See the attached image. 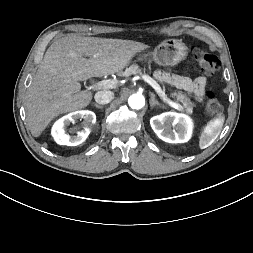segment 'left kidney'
Listing matches in <instances>:
<instances>
[{"instance_id":"5707ae66","label":"left kidney","mask_w":253,"mask_h":253,"mask_svg":"<svg viewBox=\"0 0 253 253\" xmlns=\"http://www.w3.org/2000/svg\"><path fill=\"white\" fill-rule=\"evenodd\" d=\"M150 125L157 136L168 143L187 142L193 127L187 115L176 112H165L154 116L150 119Z\"/></svg>"}]
</instances>
